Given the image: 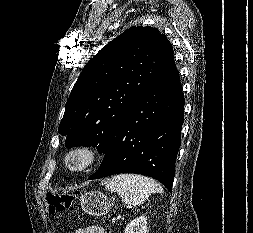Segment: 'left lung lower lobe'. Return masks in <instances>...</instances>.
<instances>
[{
    "instance_id": "left-lung-lower-lobe-1",
    "label": "left lung lower lobe",
    "mask_w": 253,
    "mask_h": 233,
    "mask_svg": "<svg viewBox=\"0 0 253 233\" xmlns=\"http://www.w3.org/2000/svg\"><path fill=\"white\" fill-rule=\"evenodd\" d=\"M184 103L173 58L127 115L89 179L137 173L160 181L171 192Z\"/></svg>"
}]
</instances>
